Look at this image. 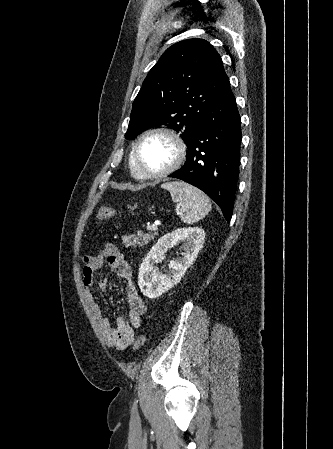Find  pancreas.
<instances>
[{"instance_id": "obj_1", "label": "pancreas", "mask_w": 333, "mask_h": 449, "mask_svg": "<svg viewBox=\"0 0 333 449\" xmlns=\"http://www.w3.org/2000/svg\"><path fill=\"white\" fill-rule=\"evenodd\" d=\"M152 238L153 234L139 231L137 234L124 236L122 240L126 247H141L147 244Z\"/></svg>"}]
</instances>
